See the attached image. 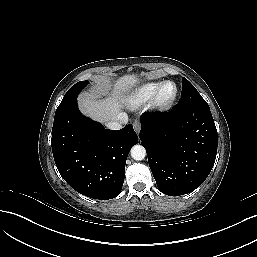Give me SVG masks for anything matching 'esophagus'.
<instances>
[{"label": "esophagus", "instance_id": "obj_1", "mask_svg": "<svg viewBox=\"0 0 257 257\" xmlns=\"http://www.w3.org/2000/svg\"><path fill=\"white\" fill-rule=\"evenodd\" d=\"M133 128H134V130H135L137 133H139V131H140V129H141L140 122L136 120V121L133 123Z\"/></svg>", "mask_w": 257, "mask_h": 257}]
</instances>
